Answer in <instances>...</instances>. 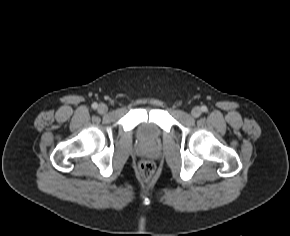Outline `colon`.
Wrapping results in <instances>:
<instances>
[{
    "label": "colon",
    "mask_w": 290,
    "mask_h": 236,
    "mask_svg": "<svg viewBox=\"0 0 290 236\" xmlns=\"http://www.w3.org/2000/svg\"><path fill=\"white\" fill-rule=\"evenodd\" d=\"M155 172V164L149 160H142L138 163V174L144 180H149Z\"/></svg>",
    "instance_id": "5ec220e1"
}]
</instances>
